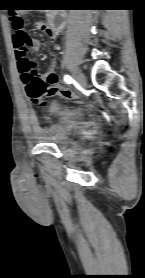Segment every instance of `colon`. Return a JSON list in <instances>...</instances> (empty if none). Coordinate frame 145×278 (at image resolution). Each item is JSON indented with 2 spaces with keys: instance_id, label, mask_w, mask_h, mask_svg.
Returning <instances> with one entry per match:
<instances>
[{
  "instance_id": "1",
  "label": "colon",
  "mask_w": 145,
  "mask_h": 278,
  "mask_svg": "<svg viewBox=\"0 0 145 278\" xmlns=\"http://www.w3.org/2000/svg\"><path fill=\"white\" fill-rule=\"evenodd\" d=\"M10 23H11V26L13 29L14 39L16 42V45H15L16 55L19 57H24L26 54V50L25 49L18 50V46L30 44L31 38L28 36V34L24 28L23 21L21 20V18L18 15H16V14L11 15ZM37 25L40 26V25H46V24L42 21H39ZM65 93L70 96L72 95L71 91H69L67 89L65 90ZM31 96L36 97L34 92H31Z\"/></svg>"
}]
</instances>
